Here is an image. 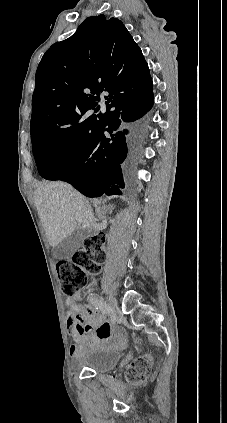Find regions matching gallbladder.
Segmentation results:
<instances>
[{"mask_svg": "<svg viewBox=\"0 0 227 423\" xmlns=\"http://www.w3.org/2000/svg\"><path fill=\"white\" fill-rule=\"evenodd\" d=\"M87 235H89L87 229H84L81 225L76 227L71 235H68L63 241H60L58 245L53 247L52 251L55 259H70L73 253H75L79 247H82Z\"/></svg>", "mask_w": 227, "mask_h": 423, "instance_id": "obj_1", "label": "gallbladder"}]
</instances>
